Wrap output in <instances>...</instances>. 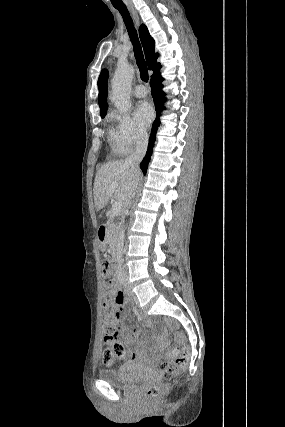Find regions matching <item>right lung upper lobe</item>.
<instances>
[{"label": "right lung upper lobe", "mask_w": 285, "mask_h": 427, "mask_svg": "<svg viewBox=\"0 0 285 427\" xmlns=\"http://www.w3.org/2000/svg\"><path fill=\"white\" fill-rule=\"evenodd\" d=\"M139 36L144 49L145 58L147 61V65L149 70H152L154 73L151 78L160 76L159 70L161 68L160 63L156 62L158 57V53H155L154 47L155 43L153 38L150 36L148 29L145 25H141L139 28ZM107 78L108 73L106 70H103L98 79V103L100 106V115L104 117L107 111Z\"/></svg>", "instance_id": "cb5924a9"}]
</instances>
